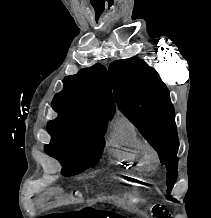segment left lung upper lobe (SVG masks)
Listing matches in <instances>:
<instances>
[{
  "mask_svg": "<svg viewBox=\"0 0 211 218\" xmlns=\"http://www.w3.org/2000/svg\"><path fill=\"white\" fill-rule=\"evenodd\" d=\"M109 74L119 109L154 147L167 168L169 195L177 178L179 147L169 91L155 69L137 58L112 62Z\"/></svg>",
  "mask_w": 211,
  "mask_h": 218,
  "instance_id": "1",
  "label": "left lung upper lobe"
}]
</instances>
